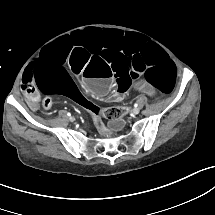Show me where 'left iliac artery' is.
<instances>
[{"mask_svg": "<svg viewBox=\"0 0 215 215\" xmlns=\"http://www.w3.org/2000/svg\"><path fill=\"white\" fill-rule=\"evenodd\" d=\"M134 107L137 108V107H138V103H135V104H134Z\"/></svg>", "mask_w": 215, "mask_h": 215, "instance_id": "obj_1", "label": "left iliac artery"}]
</instances>
